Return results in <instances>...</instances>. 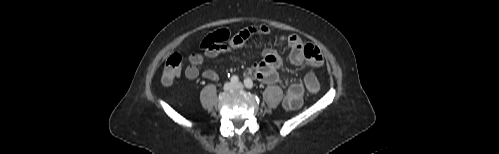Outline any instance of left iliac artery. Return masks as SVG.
Returning <instances> with one entry per match:
<instances>
[{
    "label": "left iliac artery",
    "mask_w": 499,
    "mask_h": 154,
    "mask_svg": "<svg viewBox=\"0 0 499 154\" xmlns=\"http://www.w3.org/2000/svg\"><path fill=\"white\" fill-rule=\"evenodd\" d=\"M244 85L246 86V88L252 89L253 88V81L249 78H246L244 80Z\"/></svg>",
    "instance_id": "left-iliac-artery-1"
}]
</instances>
